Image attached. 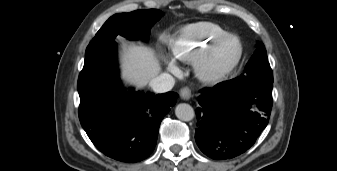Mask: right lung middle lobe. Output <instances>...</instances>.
I'll list each match as a JSON object with an SVG mask.
<instances>
[{
    "label": "right lung middle lobe",
    "mask_w": 337,
    "mask_h": 171,
    "mask_svg": "<svg viewBox=\"0 0 337 171\" xmlns=\"http://www.w3.org/2000/svg\"><path fill=\"white\" fill-rule=\"evenodd\" d=\"M164 15L157 9L136 10L110 17L89 43L86 54L98 44L114 42L118 35L128 39L147 38L151 27Z\"/></svg>",
    "instance_id": "right-lung-middle-lobe-1"
}]
</instances>
